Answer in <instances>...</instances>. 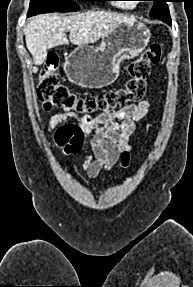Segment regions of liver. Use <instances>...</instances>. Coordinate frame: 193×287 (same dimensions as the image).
I'll list each match as a JSON object with an SVG mask.
<instances>
[{
	"instance_id": "liver-1",
	"label": "liver",
	"mask_w": 193,
	"mask_h": 287,
	"mask_svg": "<svg viewBox=\"0 0 193 287\" xmlns=\"http://www.w3.org/2000/svg\"><path fill=\"white\" fill-rule=\"evenodd\" d=\"M135 19L121 14L105 11H88L71 16L42 14L30 19L25 28L26 46L35 67L41 65L47 50L59 45H68L66 32H70L69 40L74 45H88L107 36L118 25Z\"/></svg>"
}]
</instances>
